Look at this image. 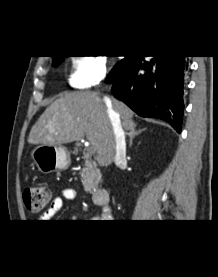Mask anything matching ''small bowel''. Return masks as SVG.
<instances>
[{
    "mask_svg": "<svg viewBox=\"0 0 218 277\" xmlns=\"http://www.w3.org/2000/svg\"><path fill=\"white\" fill-rule=\"evenodd\" d=\"M78 198V192L74 188H66L62 191L60 196L55 197L49 208L43 213L41 219L47 220L53 217L57 212H59L62 207L64 200H76Z\"/></svg>",
    "mask_w": 218,
    "mask_h": 277,
    "instance_id": "1",
    "label": "small bowel"
}]
</instances>
